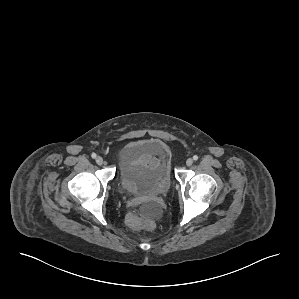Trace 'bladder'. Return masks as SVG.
Wrapping results in <instances>:
<instances>
[{"mask_svg":"<svg viewBox=\"0 0 299 299\" xmlns=\"http://www.w3.org/2000/svg\"><path fill=\"white\" fill-rule=\"evenodd\" d=\"M164 145L157 140L132 142L124 151L125 164L119 178V188L128 193L127 184L134 182L140 193L166 194L171 186L169 164Z\"/></svg>","mask_w":299,"mask_h":299,"instance_id":"bladder-1","label":"bladder"}]
</instances>
